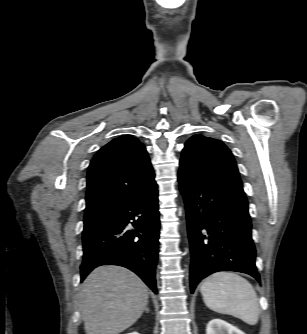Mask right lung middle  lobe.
Listing matches in <instances>:
<instances>
[{
	"mask_svg": "<svg viewBox=\"0 0 307 334\" xmlns=\"http://www.w3.org/2000/svg\"><path fill=\"white\" fill-rule=\"evenodd\" d=\"M104 218H105V215H94V216L84 217L83 233L91 230L93 227H95Z\"/></svg>",
	"mask_w": 307,
	"mask_h": 334,
	"instance_id": "obj_1",
	"label": "right lung middle lobe"
}]
</instances>
